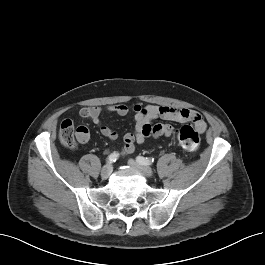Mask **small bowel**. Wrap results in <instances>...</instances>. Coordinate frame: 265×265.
I'll return each instance as SVG.
<instances>
[{
	"label": "small bowel",
	"instance_id": "small-bowel-1",
	"mask_svg": "<svg viewBox=\"0 0 265 265\" xmlns=\"http://www.w3.org/2000/svg\"><path fill=\"white\" fill-rule=\"evenodd\" d=\"M109 113L118 114L124 116L128 114L129 108L126 105H109L105 108ZM133 112L135 113V122L133 132L125 134L123 138V147L121 149V155H128L134 152L135 144L143 143L148 137H170L173 134V129L168 124H155L151 122L154 119L161 118L166 121L175 122H192L200 132H204L207 128V124L202 115L188 108H178L171 106H156L147 105L142 107L140 105L133 106ZM103 109L97 106L84 107L80 110L79 114L83 118L90 119L94 125H96L101 134L110 140H116L118 134L110 127L102 124L100 115ZM77 140L79 143L84 144L88 142L90 138L89 129L80 125L76 129Z\"/></svg>",
	"mask_w": 265,
	"mask_h": 265
}]
</instances>
